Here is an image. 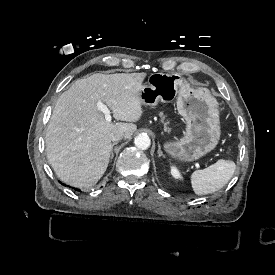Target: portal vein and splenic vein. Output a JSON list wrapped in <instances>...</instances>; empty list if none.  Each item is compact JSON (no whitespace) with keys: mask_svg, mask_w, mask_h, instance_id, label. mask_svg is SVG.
<instances>
[{"mask_svg":"<svg viewBox=\"0 0 275 275\" xmlns=\"http://www.w3.org/2000/svg\"><path fill=\"white\" fill-rule=\"evenodd\" d=\"M98 108L104 114L105 119L107 121H111V119H112V112H111V110L105 104H102V103L98 104ZM196 167H197V169H201V166H199V164H196Z\"/></svg>","mask_w":275,"mask_h":275,"instance_id":"1","label":"portal vein and splenic vein"}]
</instances>
